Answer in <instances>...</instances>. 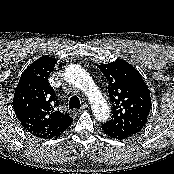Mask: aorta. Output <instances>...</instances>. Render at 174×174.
I'll use <instances>...</instances> for the list:
<instances>
[{
    "mask_svg": "<svg viewBox=\"0 0 174 174\" xmlns=\"http://www.w3.org/2000/svg\"><path fill=\"white\" fill-rule=\"evenodd\" d=\"M64 75L70 84L80 88L87 95L97 120L106 121L110 116L109 106L89 73L81 66L71 64L65 68Z\"/></svg>",
    "mask_w": 174,
    "mask_h": 174,
    "instance_id": "762f6f07",
    "label": "aorta"
}]
</instances>
